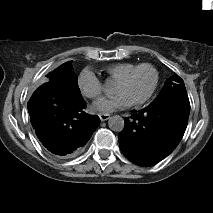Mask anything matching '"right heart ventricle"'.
<instances>
[{"label":"right heart ventricle","instance_id":"1","mask_svg":"<svg viewBox=\"0 0 213 213\" xmlns=\"http://www.w3.org/2000/svg\"><path fill=\"white\" fill-rule=\"evenodd\" d=\"M139 65L134 63H119L113 66H109L106 68V72L110 76V79L113 82H117L123 76L127 75L131 70L138 67Z\"/></svg>","mask_w":213,"mask_h":213}]
</instances>
